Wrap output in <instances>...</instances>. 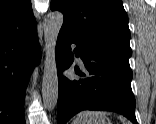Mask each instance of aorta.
I'll list each match as a JSON object with an SVG mask.
<instances>
[{"instance_id": "obj_1", "label": "aorta", "mask_w": 156, "mask_h": 124, "mask_svg": "<svg viewBox=\"0 0 156 124\" xmlns=\"http://www.w3.org/2000/svg\"><path fill=\"white\" fill-rule=\"evenodd\" d=\"M63 14L50 12L44 22L45 60L42 79L43 105L48 111L54 110L58 101V76L56 67V42L63 24Z\"/></svg>"}]
</instances>
